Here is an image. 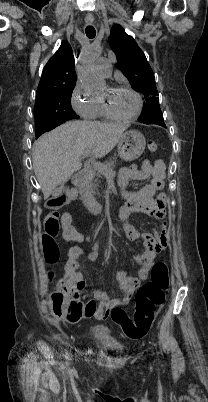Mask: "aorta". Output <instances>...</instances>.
<instances>
[{"label":"aorta","mask_w":208,"mask_h":402,"mask_svg":"<svg viewBox=\"0 0 208 402\" xmlns=\"http://www.w3.org/2000/svg\"><path fill=\"white\" fill-rule=\"evenodd\" d=\"M102 242H105V239H102Z\"/></svg>","instance_id":"aorta-1"}]
</instances>
